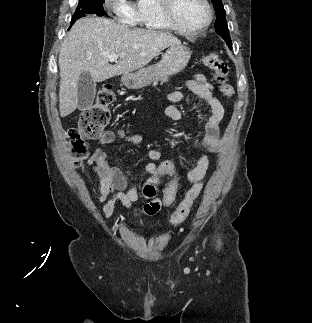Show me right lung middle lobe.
<instances>
[{
  "instance_id": "dd1d6c3e",
  "label": "right lung middle lobe",
  "mask_w": 312,
  "mask_h": 323,
  "mask_svg": "<svg viewBox=\"0 0 312 323\" xmlns=\"http://www.w3.org/2000/svg\"><path fill=\"white\" fill-rule=\"evenodd\" d=\"M86 14H96L102 16L104 14L103 0H79L75 14L72 16L71 26L75 21Z\"/></svg>"
}]
</instances>
